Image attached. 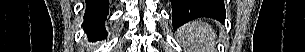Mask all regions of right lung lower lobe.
Instances as JSON below:
<instances>
[{"label":"right lung lower lobe","mask_w":305,"mask_h":52,"mask_svg":"<svg viewBox=\"0 0 305 52\" xmlns=\"http://www.w3.org/2000/svg\"><path fill=\"white\" fill-rule=\"evenodd\" d=\"M109 12L108 0H87L83 27L88 33L89 40L95 41L106 38L104 29L106 16Z\"/></svg>","instance_id":"right-lung-lower-lobe-1"}]
</instances>
